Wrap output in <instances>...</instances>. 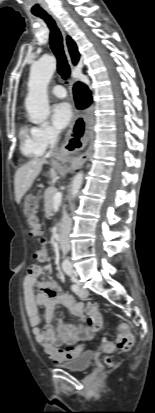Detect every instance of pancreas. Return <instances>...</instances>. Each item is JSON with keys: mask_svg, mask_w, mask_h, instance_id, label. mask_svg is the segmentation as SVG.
Instances as JSON below:
<instances>
[{"mask_svg": "<svg viewBox=\"0 0 155 413\" xmlns=\"http://www.w3.org/2000/svg\"><path fill=\"white\" fill-rule=\"evenodd\" d=\"M56 193H57V189L53 186L49 187L44 192L45 214L47 217H50L51 215L52 206H53V198Z\"/></svg>", "mask_w": 155, "mask_h": 413, "instance_id": "cf45deb5", "label": "pancreas"}]
</instances>
